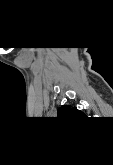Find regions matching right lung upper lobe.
Listing matches in <instances>:
<instances>
[{"label":"right lung upper lobe","instance_id":"1","mask_svg":"<svg viewBox=\"0 0 113 165\" xmlns=\"http://www.w3.org/2000/svg\"><path fill=\"white\" fill-rule=\"evenodd\" d=\"M78 115L82 116L84 113L76 107H71L70 105H64L58 109V116L63 118H74Z\"/></svg>","mask_w":113,"mask_h":165}]
</instances>
